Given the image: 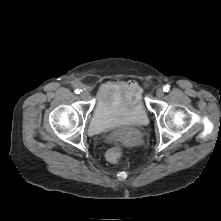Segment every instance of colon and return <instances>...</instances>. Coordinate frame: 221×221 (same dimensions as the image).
<instances>
[{
  "mask_svg": "<svg viewBox=\"0 0 221 221\" xmlns=\"http://www.w3.org/2000/svg\"><path fill=\"white\" fill-rule=\"evenodd\" d=\"M122 155V149L120 146H114L107 152V158L111 162H119Z\"/></svg>",
  "mask_w": 221,
  "mask_h": 221,
  "instance_id": "5ec220e1",
  "label": "colon"
}]
</instances>
